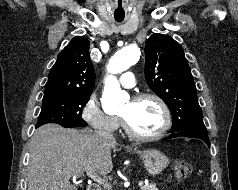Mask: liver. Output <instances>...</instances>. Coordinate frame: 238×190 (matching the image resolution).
Wrapping results in <instances>:
<instances>
[{"instance_id":"liver-1","label":"liver","mask_w":238,"mask_h":190,"mask_svg":"<svg viewBox=\"0 0 238 190\" xmlns=\"http://www.w3.org/2000/svg\"><path fill=\"white\" fill-rule=\"evenodd\" d=\"M111 149H117L115 140L57 124L43 125L30 141L28 190H73L70 178L82 177L89 169L107 175L113 169Z\"/></svg>"}]
</instances>
